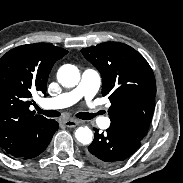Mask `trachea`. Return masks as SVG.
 <instances>
[{
  "label": "trachea",
  "mask_w": 183,
  "mask_h": 183,
  "mask_svg": "<svg viewBox=\"0 0 183 183\" xmlns=\"http://www.w3.org/2000/svg\"><path fill=\"white\" fill-rule=\"evenodd\" d=\"M36 110L38 111L39 114H43L47 117H59L61 114L60 112L56 111V110H42L41 108H39L38 106H36ZM96 114L94 113H86V112H80L76 114L77 118L83 119V120H90L93 117H95Z\"/></svg>",
  "instance_id": "obj_1"
}]
</instances>
